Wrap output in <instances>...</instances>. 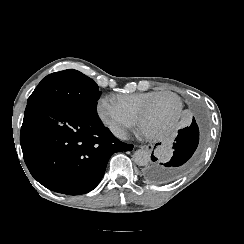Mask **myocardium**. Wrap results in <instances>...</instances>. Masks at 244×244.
<instances>
[{
  "instance_id": "1",
  "label": "myocardium",
  "mask_w": 244,
  "mask_h": 244,
  "mask_svg": "<svg viewBox=\"0 0 244 244\" xmlns=\"http://www.w3.org/2000/svg\"><path fill=\"white\" fill-rule=\"evenodd\" d=\"M164 95H170V96H173L175 97L177 100H178V107L176 109L175 112H173L171 114V116L166 120V121H162L160 120L159 121V124L156 126V127H149L147 124H146V117H144V113L146 112V110L148 108H151L152 107V104H154L155 102H157L162 96ZM154 99H152L151 101H149L146 106H144L140 112V116L137 118V123L140 125L141 124V127L143 130H156V128H159V127H164L166 125H169V124H172L175 120V118L177 117V115L180 113L181 109H182V106H183V102H182V98L175 92H171V91H166V92H163V93H158L157 95H155L153 97Z\"/></svg>"
}]
</instances>
